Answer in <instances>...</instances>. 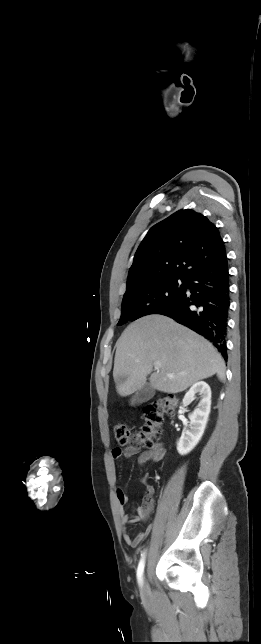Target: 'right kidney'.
Wrapping results in <instances>:
<instances>
[{"mask_svg": "<svg viewBox=\"0 0 261 644\" xmlns=\"http://www.w3.org/2000/svg\"><path fill=\"white\" fill-rule=\"evenodd\" d=\"M201 395L200 403L194 412L190 415V424L185 428L177 443V450L180 455H186L194 449L200 441L211 409V389L203 381L193 384L185 394L183 405H189L195 397V394Z\"/></svg>", "mask_w": 261, "mask_h": 644, "instance_id": "right-kidney-1", "label": "right kidney"}]
</instances>
